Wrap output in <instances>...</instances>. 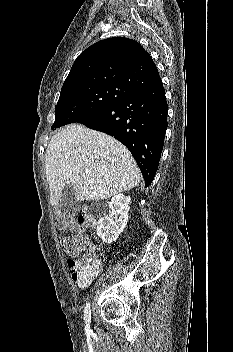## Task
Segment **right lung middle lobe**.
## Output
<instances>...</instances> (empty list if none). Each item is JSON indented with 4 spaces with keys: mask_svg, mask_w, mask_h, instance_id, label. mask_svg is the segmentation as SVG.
<instances>
[{
    "mask_svg": "<svg viewBox=\"0 0 233 352\" xmlns=\"http://www.w3.org/2000/svg\"><path fill=\"white\" fill-rule=\"evenodd\" d=\"M134 91L121 85L78 88L61 94L55 107L52 129L79 123L130 96Z\"/></svg>",
    "mask_w": 233,
    "mask_h": 352,
    "instance_id": "dd1d6c3e",
    "label": "right lung middle lobe"
}]
</instances>
